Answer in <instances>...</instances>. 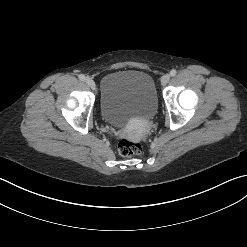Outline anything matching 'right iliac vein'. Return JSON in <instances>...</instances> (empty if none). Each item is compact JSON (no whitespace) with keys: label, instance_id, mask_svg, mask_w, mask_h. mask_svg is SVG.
Returning <instances> with one entry per match:
<instances>
[{"label":"right iliac vein","instance_id":"right-iliac-vein-1","mask_svg":"<svg viewBox=\"0 0 247 247\" xmlns=\"http://www.w3.org/2000/svg\"><path fill=\"white\" fill-rule=\"evenodd\" d=\"M86 83H87V85H88L90 88L95 89V82H94V80H93L92 78L87 77V78H86Z\"/></svg>","mask_w":247,"mask_h":247}]
</instances>
